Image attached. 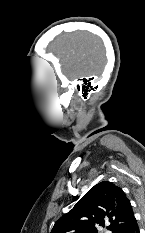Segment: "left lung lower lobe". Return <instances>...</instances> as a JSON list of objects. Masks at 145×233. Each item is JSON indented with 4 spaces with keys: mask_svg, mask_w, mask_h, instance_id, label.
I'll use <instances>...</instances> for the list:
<instances>
[{
    "mask_svg": "<svg viewBox=\"0 0 145 233\" xmlns=\"http://www.w3.org/2000/svg\"><path fill=\"white\" fill-rule=\"evenodd\" d=\"M139 227L137 221H134L127 233H139Z\"/></svg>",
    "mask_w": 145,
    "mask_h": 233,
    "instance_id": "0a47b994",
    "label": "left lung lower lobe"
}]
</instances>
